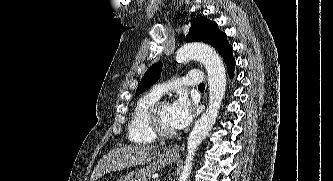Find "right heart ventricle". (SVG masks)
Returning <instances> with one entry per match:
<instances>
[{"instance_id":"right-heart-ventricle-1","label":"right heart ventricle","mask_w":333,"mask_h":181,"mask_svg":"<svg viewBox=\"0 0 333 181\" xmlns=\"http://www.w3.org/2000/svg\"><path fill=\"white\" fill-rule=\"evenodd\" d=\"M160 99L154 91L143 94L136 102L129 126V140L136 144H151L157 137L150 131L147 123V114L152 105Z\"/></svg>"}]
</instances>
